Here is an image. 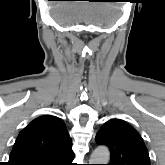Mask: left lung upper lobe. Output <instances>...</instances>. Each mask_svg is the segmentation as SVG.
Listing matches in <instances>:
<instances>
[{
    "label": "left lung upper lobe",
    "instance_id": "1",
    "mask_svg": "<svg viewBox=\"0 0 165 165\" xmlns=\"http://www.w3.org/2000/svg\"><path fill=\"white\" fill-rule=\"evenodd\" d=\"M96 142L109 147V165H150L148 151L141 136L123 120L107 121L97 133Z\"/></svg>",
    "mask_w": 165,
    "mask_h": 165
}]
</instances>
